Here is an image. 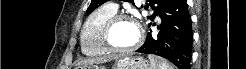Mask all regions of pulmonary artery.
<instances>
[{
	"instance_id": "1",
	"label": "pulmonary artery",
	"mask_w": 246,
	"mask_h": 69,
	"mask_svg": "<svg viewBox=\"0 0 246 69\" xmlns=\"http://www.w3.org/2000/svg\"><path fill=\"white\" fill-rule=\"evenodd\" d=\"M109 5H110L111 7H113V8H115V9H117L116 3L110 2Z\"/></svg>"
}]
</instances>
